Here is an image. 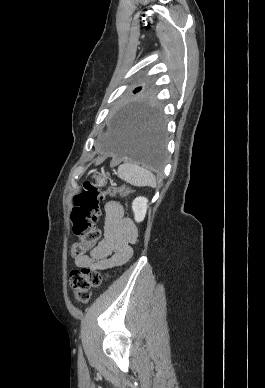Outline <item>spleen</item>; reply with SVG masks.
<instances>
[{
  "mask_svg": "<svg viewBox=\"0 0 265 388\" xmlns=\"http://www.w3.org/2000/svg\"><path fill=\"white\" fill-rule=\"evenodd\" d=\"M118 174L121 180H126L132 186H156L155 176L138 164H122L118 168Z\"/></svg>",
  "mask_w": 265,
  "mask_h": 388,
  "instance_id": "3e777b00",
  "label": "spleen"
}]
</instances>
